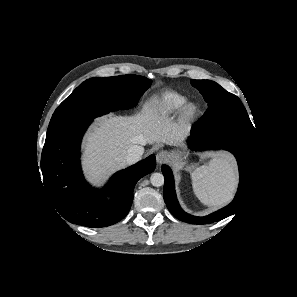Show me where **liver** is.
I'll use <instances>...</instances> for the list:
<instances>
[{"instance_id":"1","label":"liver","mask_w":297,"mask_h":297,"mask_svg":"<svg viewBox=\"0 0 297 297\" xmlns=\"http://www.w3.org/2000/svg\"><path fill=\"white\" fill-rule=\"evenodd\" d=\"M84 143L83 165L89 179L99 183L109 173L124 168L134 145H181L185 132L152 104L134 116L109 115L97 119Z\"/></svg>"}]
</instances>
